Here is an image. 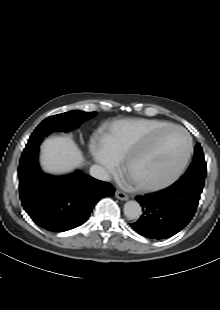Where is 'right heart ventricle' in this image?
<instances>
[{
  "mask_svg": "<svg viewBox=\"0 0 220 310\" xmlns=\"http://www.w3.org/2000/svg\"><path fill=\"white\" fill-rule=\"evenodd\" d=\"M169 123L157 120H138L116 125L110 136L101 141L102 148L117 162L146 138Z\"/></svg>",
  "mask_w": 220,
  "mask_h": 310,
  "instance_id": "e07e8e85",
  "label": "right heart ventricle"
}]
</instances>
